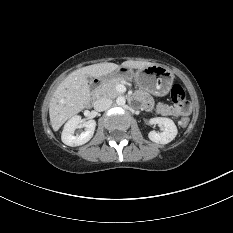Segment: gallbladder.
Masks as SVG:
<instances>
[{"instance_id":"bac80fb5","label":"gallbladder","mask_w":233,"mask_h":233,"mask_svg":"<svg viewBox=\"0 0 233 233\" xmlns=\"http://www.w3.org/2000/svg\"><path fill=\"white\" fill-rule=\"evenodd\" d=\"M91 80V78L90 77H88V81H90Z\"/></svg>"}]
</instances>
